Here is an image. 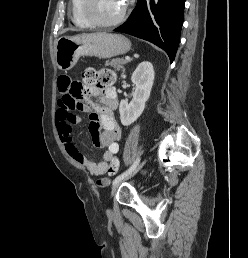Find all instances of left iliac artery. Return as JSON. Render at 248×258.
Returning a JSON list of instances; mask_svg holds the SVG:
<instances>
[{
    "instance_id": "left-iliac-artery-1",
    "label": "left iliac artery",
    "mask_w": 248,
    "mask_h": 258,
    "mask_svg": "<svg viewBox=\"0 0 248 258\" xmlns=\"http://www.w3.org/2000/svg\"><path fill=\"white\" fill-rule=\"evenodd\" d=\"M139 162H140V158L138 157L136 161L130 166L129 169H127L125 172H123L122 174H120L114 179L113 185L119 182L120 180H122L123 178H125L126 176H128L132 171H134L136 167L139 165Z\"/></svg>"
}]
</instances>
